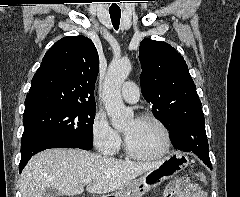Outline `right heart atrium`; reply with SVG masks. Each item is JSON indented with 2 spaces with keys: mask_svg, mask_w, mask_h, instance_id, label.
<instances>
[{
  "mask_svg": "<svg viewBox=\"0 0 240 197\" xmlns=\"http://www.w3.org/2000/svg\"><path fill=\"white\" fill-rule=\"evenodd\" d=\"M91 140L95 149L104 155L116 154L122 146V138L106 116L97 113L91 124Z\"/></svg>",
  "mask_w": 240,
  "mask_h": 197,
  "instance_id": "d8ad5b80",
  "label": "right heart atrium"
}]
</instances>
